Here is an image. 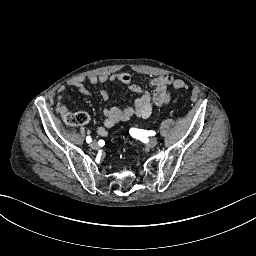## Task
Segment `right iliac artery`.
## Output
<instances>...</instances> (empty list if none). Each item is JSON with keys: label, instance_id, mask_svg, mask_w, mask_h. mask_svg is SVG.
Here are the masks:
<instances>
[{"label": "right iliac artery", "instance_id": "right-iliac-artery-1", "mask_svg": "<svg viewBox=\"0 0 256 256\" xmlns=\"http://www.w3.org/2000/svg\"><path fill=\"white\" fill-rule=\"evenodd\" d=\"M91 141H92L91 137H90V136H87V137H86V142H87V143H90Z\"/></svg>", "mask_w": 256, "mask_h": 256}]
</instances>
